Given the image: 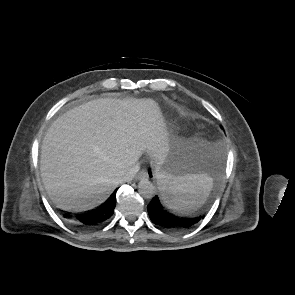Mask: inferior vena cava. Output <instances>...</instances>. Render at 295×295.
I'll return each mask as SVG.
<instances>
[{"label": "inferior vena cava", "mask_w": 295, "mask_h": 295, "mask_svg": "<svg viewBox=\"0 0 295 295\" xmlns=\"http://www.w3.org/2000/svg\"><path fill=\"white\" fill-rule=\"evenodd\" d=\"M140 166L138 164L132 166L131 168L128 169L126 174L123 177V181H130L134 178L136 173L139 171Z\"/></svg>", "instance_id": "obj_1"}]
</instances>
